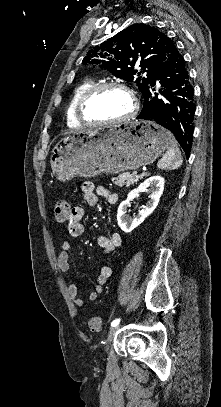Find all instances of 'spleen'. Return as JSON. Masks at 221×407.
Here are the masks:
<instances>
[{
    "mask_svg": "<svg viewBox=\"0 0 221 407\" xmlns=\"http://www.w3.org/2000/svg\"><path fill=\"white\" fill-rule=\"evenodd\" d=\"M183 163L181 151L177 142L171 138L169 147L163 157L158 161L157 167L163 170L178 169Z\"/></svg>",
    "mask_w": 221,
    "mask_h": 407,
    "instance_id": "1",
    "label": "spleen"
}]
</instances>
